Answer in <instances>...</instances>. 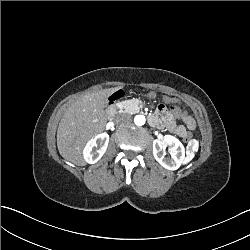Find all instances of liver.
Returning <instances> with one entry per match:
<instances>
[{"label":"liver","mask_w":250,"mask_h":250,"mask_svg":"<svg viewBox=\"0 0 250 250\" xmlns=\"http://www.w3.org/2000/svg\"><path fill=\"white\" fill-rule=\"evenodd\" d=\"M114 91L116 88L84 94L67 109L57 130V146L63 158L85 165L81 148L91 135L103 129L105 100Z\"/></svg>","instance_id":"6515ba94"}]
</instances>
